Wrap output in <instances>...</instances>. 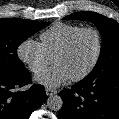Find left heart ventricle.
<instances>
[{
  "mask_svg": "<svg viewBox=\"0 0 119 119\" xmlns=\"http://www.w3.org/2000/svg\"><path fill=\"white\" fill-rule=\"evenodd\" d=\"M97 50V40L94 34H82L74 43L71 50L58 57L54 63L66 70L70 77L81 74L91 64Z\"/></svg>",
  "mask_w": 119,
  "mask_h": 119,
  "instance_id": "obj_1",
  "label": "left heart ventricle"
}]
</instances>
